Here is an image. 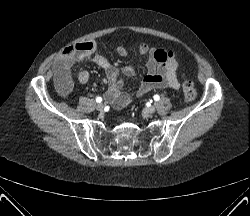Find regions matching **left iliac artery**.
<instances>
[{"label":"left iliac artery","instance_id":"44dca946","mask_svg":"<svg viewBox=\"0 0 250 216\" xmlns=\"http://www.w3.org/2000/svg\"><path fill=\"white\" fill-rule=\"evenodd\" d=\"M153 98H154V100H155V101H158V100L160 99L159 95H157V94H156V95H154V97H153Z\"/></svg>","mask_w":250,"mask_h":216}]
</instances>
